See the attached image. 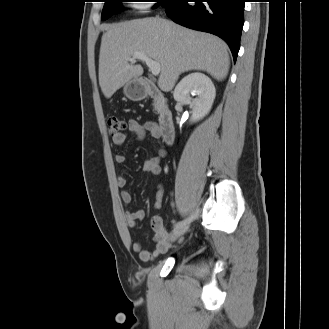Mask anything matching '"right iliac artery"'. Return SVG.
<instances>
[{
    "label": "right iliac artery",
    "instance_id": "obj_1",
    "mask_svg": "<svg viewBox=\"0 0 329 329\" xmlns=\"http://www.w3.org/2000/svg\"><path fill=\"white\" fill-rule=\"evenodd\" d=\"M194 219V214H191L189 217H187L186 219L182 220V221H179L175 227H178L180 225H183V224H186V223H191L192 220Z\"/></svg>",
    "mask_w": 329,
    "mask_h": 329
}]
</instances>
